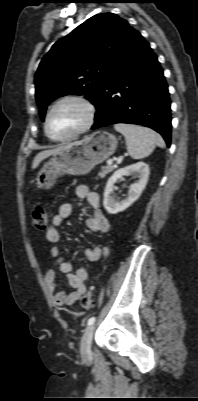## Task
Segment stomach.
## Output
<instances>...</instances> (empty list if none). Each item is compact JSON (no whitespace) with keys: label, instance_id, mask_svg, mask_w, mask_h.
I'll return each instance as SVG.
<instances>
[{"label":"stomach","instance_id":"0dacf381","mask_svg":"<svg viewBox=\"0 0 198 401\" xmlns=\"http://www.w3.org/2000/svg\"><path fill=\"white\" fill-rule=\"evenodd\" d=\"M118 140L108 131L98 130L80 141L69 143L52 156L39 170L36 183L39 189L51 188L64 175H84L108 159L116 150Z\"/></svg>","mask_w":198,"mask_h":401}]
</instances>
